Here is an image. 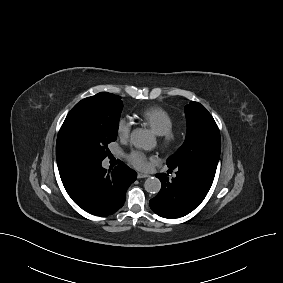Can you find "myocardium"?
I'll return each instance as SVG.
<instances>
[{
    "mask_svg": "<svg viewBox=\"0 0 283 283\" xmlns=\"http://www.w3.org/2000/svg\"><path fill=\"white\" fill-rule=\"evenodd\" d=\"M160 142L164 147H170L174 145L179 139V132L174 128H170L166 132L159 135Z\"/></svg>",
    "mask_w": 283,
    "mask_h": 283,
    "instance_id": "f54148a6",
    "label": "myocardium"
}]
</instances>
